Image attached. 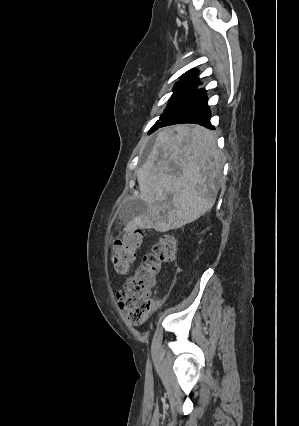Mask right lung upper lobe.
<instances>
[{"instance_id":"cb5924a9","label":"right lung upper lobe","mask_w":299,"mask_h":426,"mask_svg":"<svg viewBox=\"0 0 299 426\" xmlns=\"http://www.w3.org/2000/svg\"><path fill=\"white\" fill-rule=\"evenodd\" d=\"M197 75H198L197 71L190 70L182 75L183 80L177 82L176 85L194 86L197 88L198 85H200Z\"/></svg>"}]
</instances>
